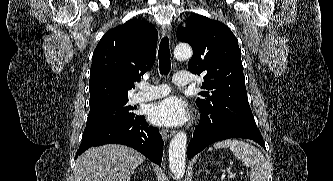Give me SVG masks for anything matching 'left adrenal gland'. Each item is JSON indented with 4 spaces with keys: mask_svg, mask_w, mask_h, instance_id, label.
Returning a JSON list of instances; mask_svg holds the SVG:
<instances>
[{
    "mask_svg": "<svg viewBox=\"0 0 333 181\" xmlns=\"http://www.w3.org/2000/svg\"><path fill=\"white\" fill-rule=\"evenodd\" d=\"M202 171H205L207 173H209V171L207 169H204V167L202 166L201 169L198 171V173L202 172Z\"/></svg>",
    "mask_w": 333,
    "mask_h": 181,
    "instance_id": "left-adrenal-gland-1",
    "label": "left adrenal gland"
}]
</instances>
